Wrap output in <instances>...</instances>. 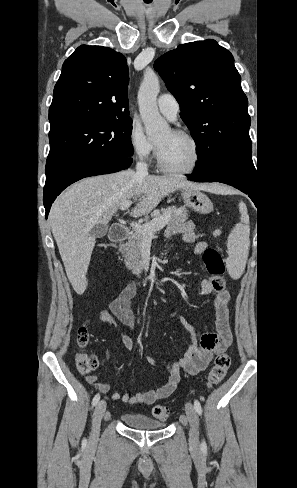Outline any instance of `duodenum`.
Returning a JSON list of instances; mask_svg holds the SVG:
<instances>
[{"label":"duodenum","mask_w":297,"mask_h":488,"mask_svg":"<svg viewBox=\"0 0 297 488\" xmlns=\"http://www.w3.org/2000/svg\"><path fill=\"white\" fill-rule=\"evenodd\" d=\"M128 235V229L120 224H113L110 227L109 238L111 241L120 243L123 242Z\"/></svg>","instance_id":"obj_1"}]
</instances>
